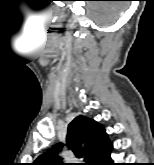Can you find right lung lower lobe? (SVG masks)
<instances>
[{"label": "right lung lower lobe", "mask_w": 154, "mask_h": 165, "mask_svg": "<svg viewBox=\"0 0 154 165\" xmlns=\"http://www.w3.org/2000/svg\"><path fill=\"white\" fill-rule=\"evenodd\" d=\"M113 146L112 143L107 140L101 147L95 161L91 165H117L110 157V152Z\"/></svg>", "instance_id": "right-lung-lower-lobe-1"}]
</instances>
